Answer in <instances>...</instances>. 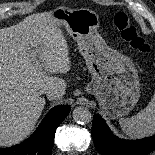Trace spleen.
<instances>
[{
	"instance_id": "3e777b00",
	"label": "spleen",
	"mask_w": 155,
	"mask_h": 155,
	"mask_svg": "<svg viewBox=\"0 0 155 155\" xmlns=\"http://www.w3.org/2000/svg\"><path fill=\"white\" fill-rule=\"evenodd\" d=\"M122 130L132 138L144 137L155 132V94L146 108L134 116L121 118Z\"/></svg>"
}]
</instances>
